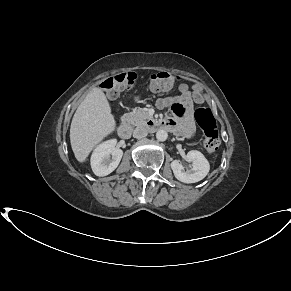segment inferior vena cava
<instances>
[{
  "instance_id": "inferior-vena-cava-1",
  "label": "inferior vena cava",
  "mask_w": 291,
  "mask_h": 291,
  "mask_svg": "<svg viewBox=\"0 0 291 291\" xmlns=\"http://www.w3.org/2000/svg\"><path fill=\"white\" fill-rule=\"evenodd\" d=\"M147 134H148V129L146 126H143V125L137 126L133 131V136L138 139L146 137Z\"/></svg>"
}]
</instances>
